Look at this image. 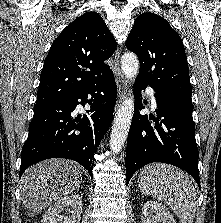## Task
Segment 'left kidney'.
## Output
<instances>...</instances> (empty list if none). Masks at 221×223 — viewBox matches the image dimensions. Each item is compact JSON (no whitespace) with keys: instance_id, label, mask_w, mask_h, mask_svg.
<instances>
[{"instance_id":"1","label":"left kidney","mask_w":221,"mask_h":223,"mask_svg":"<svg viewBox=\"0 0 221 223\" xmlns=\"http://www.w3.org/2000/svg\"><path fill=\"white\" fill-rule=\"evenodd\" d=\"M142 223H176L165 206L155 201H148L142 209Z\"/></svg>"}]
</instances>
